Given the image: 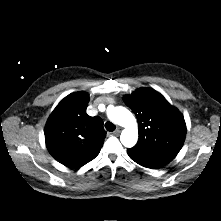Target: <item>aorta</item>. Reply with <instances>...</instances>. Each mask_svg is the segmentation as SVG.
Here are the masks:
<instances>
[{"instance_id":"obj_1","label":"aorta","mask_w":221,"mask_h":221,"mask_svg":"<svg viewBox=\"0 0 221 221\" xmlns=\"http://www.w3.org/2000/svg\"><path fill=\"white\" fill-rule=\"evenodd\" d=\"M108 118L125 129L120 135L121 143L127 147H133L138 140V127L133 114L125 107H111L107 111Z\"/></svg>"}]
</instances>
